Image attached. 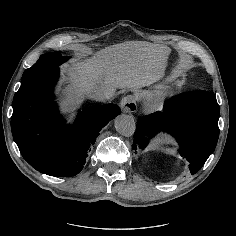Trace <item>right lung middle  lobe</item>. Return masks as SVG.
<instances>
[{"label":"right lung middle lobe","instance_id":"dd1d6c3e","mask_svg":"<svg viewBox=\"0 0 236 236\" xmlns=\"http://www.w3.org/2000/svg\"><path fill=\"white\" fill-rule=\"evenodd\" d=\"M67 59H68V57L61 56V53L58 51L44 54V55L40 56L38 61L31 68L26 69L24 71L21 81L29 78L30 76H32L36 73H39V72L48 70L50 68L59 66Z\"/></svg>","mask_w":236,"mask_h":236}]
</instances>
